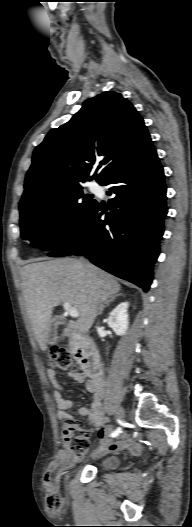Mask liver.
<instances>
[{
  "mask_svg": "<svg viewBox=\"0 0 192 527\" xmlns=\"http://www.w3.org/2000/svg\"><path fill=\"white\" fill-rule=\"evenodd\" d=\"M20 275L25 307L42 351L47 350V332L54 307L68 302L76 308L79 318L68 322L65 333L84 334L98 315L99 306L121 289L102 269L69 257L27 264L21 268Z\"/></svg>",
  "mask_w": 192,
  "mask_h": 527,
  "instance_id": "1",
  "label": "liver"
}]
</instances>
